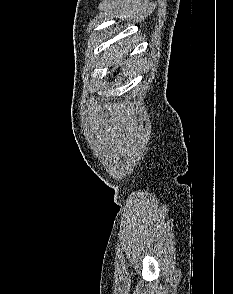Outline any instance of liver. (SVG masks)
I'll list each match as a JSON object with an SVG mask.
<instances>
[{
    "instance_id": "liver-1",
    "label": "liver",
    "mask_w": 233,
    "mask_h": 294,
    "mask_svg": "<svg viewBox=\"0 0 233 294\" xmlns=\"http://www.w3.org/2000/svg\"><path fill=\"white\" fill-rule=\"evenodd\" d=\"M116 57L118 58V60L122 57L120 52H116Z\"/></svg>"
}]
</instances>
